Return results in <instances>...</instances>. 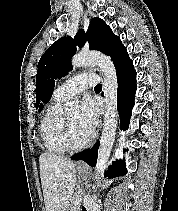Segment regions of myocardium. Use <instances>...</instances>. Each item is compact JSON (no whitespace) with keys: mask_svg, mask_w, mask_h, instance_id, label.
I'll return each instance as SVG.
<instances>
[{"mask_svg":"<svg viewBox=\"0 0 178 211\" xmlns=\"http://www.w3.org/2000/svg\"><path fill=\"white\" fill-rule=\"evenodd\" d=\"M92 139H93L92 135H89V137L83 143H80V144L76 143L74 141V138L72 135L69 121L67 118H64V120H63V141H64L65 146L70 151H79V150H82V149L88 147L91 144Z\"/></svg>","mask_w":178,"mask_h":211,"instance_id":"obj_1","label":"myocardium"}]
</instances>
